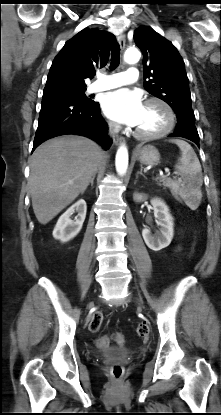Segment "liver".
<instances>
[{"mask_svg":"<svg viewBox=\"0 0 221 415\" xmlns=\"http://www.w3.org/2000/svg\"><path fill=\"white\" fill-rule=\"evenodd\" d=\"M103 158L94 141L76 135L49 139L34 151L29 186L39 223L50 222L85 192Z\"/></svg>","mask_w":221,"mask_h":415,"instance_id":"1","label":"liver"}]
</instances>
